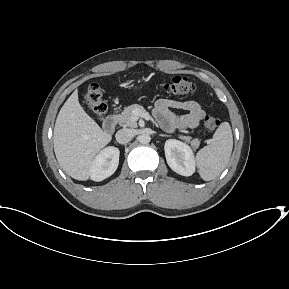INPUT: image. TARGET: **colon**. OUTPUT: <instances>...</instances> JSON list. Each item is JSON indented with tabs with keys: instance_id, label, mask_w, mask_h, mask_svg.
<instances>
[{
	"instance_id": "1",
	"label": "colon",
	"mask_w": 289,
	"mask_h": 289,
	"mask_svg": "<svg viewBox=\"0 0 289 289\" xmlns=\"http://www.w3.org/2000/svg\"><path fill=\"white\" fill-rule=\"evenodd\" d=\"M160 89L166 93L174 95H188L192 94L195 89V83L186 76L177 75L170 79L168 82H165L160 85ZM85 100L89 109L98 117H102L106 110L107 105L102 98L101 88L98 84L92 83L89 85L86 94ZM220 125V120L213 116L208 115L204 119V129L208 132H213Z\"/></svg>"
}]
</instances>
